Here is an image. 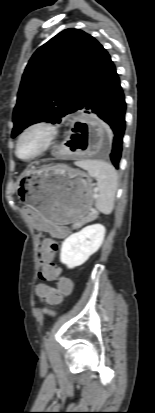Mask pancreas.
I'll return each instance as SVG.
<instances>
[{
  "label": "pancreas",
  "mask_w": 155,
  "mask_h": 413,
  "mask_svg": "<svg viewBox=\"0 0 155 413\" xmlns=\"http://www.w3.org/2000/svg\"><path fill=\"white\" fill-rule=\"evenodd\" d=\"M96 218H97V214H96V213L90 214L89 216H87V217H85V218H83V219H81V220L76 221V222L72 225V228H73V229H78V228L82 227L85 223L90 222V221H93V220H95Z\"/></svg>",
  "instance_id": "1"
}]
</instances>
